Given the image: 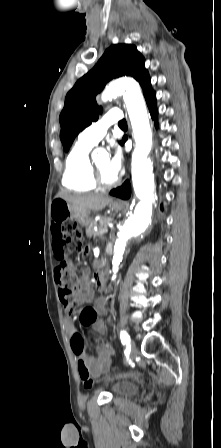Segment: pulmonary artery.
Listing matches in <instances>:
<instances>
[{
	"label": "pulmonary artery",
	"instance_id": "pulmonary-artery-1",
	"mask_svg": "<svg viewBox=\"0 0 221 448\" xmlns=\"http://www.w3.org/2000/svg\"><path fill=\"white\" fill-rule=\"evenodd\" d=\"M123 118L121 111L117 108L110 109L99 120L86 127L78 136V142L88 146L96 145L107 133L111 124L120 122Z\"/></svg>",
	"mask_w": 221,
	"mask_h": 448
}]
</instances>
